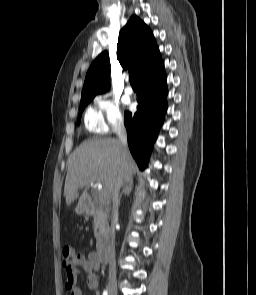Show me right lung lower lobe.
I'll list each match as a JSON object with an SVG mask.
<instances>
[{
  "label": "right lung lower lobe",
  "mask_w": 256,
  "mask_h": 295,
  "mask_svg": "<svg viewBox=\"0 0 256 295\" xmlns=\"http://www.w3.org/2000/svg\"><path fill=\"white\" fill-rule=\"evenodd\" d=\"M137 112H125L128 145L140 169H145L167 110V85L164 62L137 79Z\"/></svg>",
  "instance_id": "right-lung-lower-lobe-1"
}]
</instances>
